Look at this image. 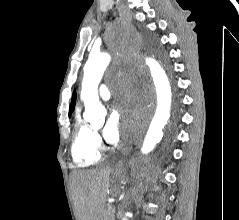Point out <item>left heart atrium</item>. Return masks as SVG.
Returning <instances> with one entry per match:
<instances>
[{"label": "left heart atrium", "instance_id": "left-heart-atrium-1", "mask_svg": "<svg viewBox=\"0 0 239 220\" xmlns=\"http://www.w3.org/2000/svg\"><path fill=\"white\" fill-rule=\"evenodd\" d=\"M130 112L131 117L121 123L122 114ZM139 124V118L132 114V111L130 110L128 96L122 93L117 97V101L111 109L108 120L103 129V137L108 143H117L121 136V128L125 129L128 134H131L133 128Z\"/></svg>", "mask_w": 239, "mask_h": 220}]
</instances>
